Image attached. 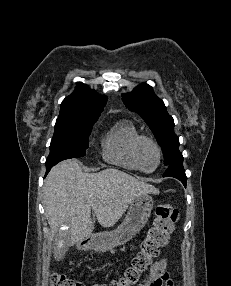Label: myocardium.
<instances>
[{
    "mask_svg": "<svg viewBox=\"0 0 231 286\" xmlns=\"http://www.w3.org/2000/svg\"><path fill=\"white\" fill-rule=\"evenodd\" d=\"M144 142L150 143L156 149L157 155H158V163H157L156 167L150 171L145 170L140 163L139 150H140L141 144ZM132 157H133V160H134L137 168L140 171H142L144 173H152L155 170H157L162 163V150H161L160 145L158 144V142L154 138H152L148 135H138L135 138L133 145H132Z\"/></svg>",
    "mask_w": 231,
    "mask_h": 286,
    "instance_id": "myocardium-1",
    "label": "myocardium"
}]
</instances>
